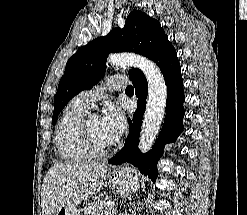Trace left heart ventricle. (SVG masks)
<instances>
[{"label":"left heart ventricle","mask_w":247,"mask_h":215,"mask_svg":"<svg viewBox=\"0 0 247 215\" xmlns=\"http://www.w3.org/2000/svg\"><path fill=\"white\" fill-rule=\"evenodd\" d=\"M87 127L92 137L95 139V141L99 145L106 146V145L111 144L106 138V136L104 135L100 121L98 119L88 120Z\"/></svg>","instance_id":"b2bd125f"}]
</instances>
